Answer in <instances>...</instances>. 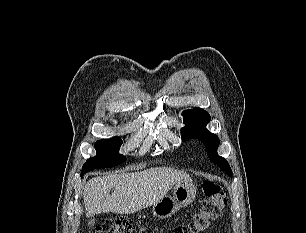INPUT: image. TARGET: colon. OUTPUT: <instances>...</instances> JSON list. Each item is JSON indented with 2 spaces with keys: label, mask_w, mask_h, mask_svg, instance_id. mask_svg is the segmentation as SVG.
I'll list each match as a JSON object with an SVG mask.
<instances>
[{
  "label": "colon",
  "mask_w": 306,
  "mask_h": 233,
  "mask_svg": "<svg viewBox=\"0 0 306 233\" xmlns=\"http://www.w3.org/2000/svg\"><path fill=\"white\" fill-rule=\"evenodd\" d=\"M205 198L199 210L192 219L181 226H178L173 233H201L208 229L223 213L226 206V196L222 187L215 182L205 181L202 185ZM94 233H144L132 221L120 218L108 220Z\"/></svg>",
  "instance_id": "5ec220e1"
}]
</instances>
